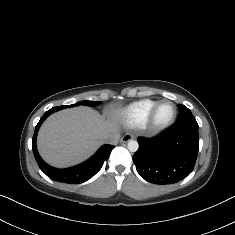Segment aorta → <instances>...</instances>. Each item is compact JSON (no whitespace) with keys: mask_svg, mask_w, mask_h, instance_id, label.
<instances>
[{"mask_svg":"<svg viewBox=\"0 0 235 235\" xmlns=\"http://www.w3.org/2000/svg\"><path fill=\"white\" fill-rule=\"evenodd\" d=\"M127 148L130 152H136L139 148V144L136 140H129L127 143Z\"/></svg>","mask_w":235,"mask_h":235,"instance_id":"obj_1","label":"aorta"}]
</instances>
